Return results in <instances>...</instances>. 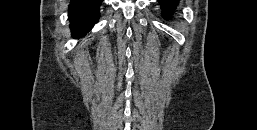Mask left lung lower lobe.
I'll return each mask as SVG.
<instances>
[{
  "label": "left lung lower lobe",
  "mask_w": 257,
  "mask_h": 130,
  "mask_svg": "<svg viewBox=\"0 0 257 130\" xmlns=\"http://www.w3.org/2000/svg\"><path fill=\"white\" fill-rule=\"evenodd\" d=\"M163 10L162 16L169 19L171 12L175 10L178 5V0H158Z\"/></svg>",
  "instance_id": "left-lung-lower-lobe-1"
}]
</instances>
